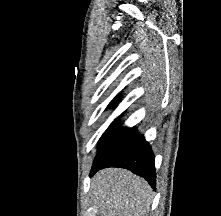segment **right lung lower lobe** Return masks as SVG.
Masks as SVG:
<instances>
[{
	"mask_svg": "<svg viewBox=\"0 0 221 216\" xmlns=\"http://www.w3.org/2000/svg\"><path fill=\"white\" fill-rule=\"evenodd\" d=\"M154 159L149 143L146 142L145 138L142 136L133 145L116 154L104 164L93 165L90 176L106 167H122L145 178L147 182L155 188L156 173Z\"/></svg>",
	"mask_w": 221,
	"mask_h": 216,
	"instance_id": "obj_1",
	"label": "right lung lower lobe"
}]
</instances>
